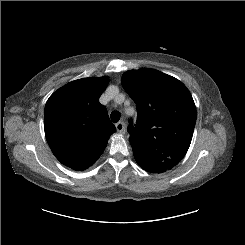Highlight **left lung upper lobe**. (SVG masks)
Instances as JSON below:
<instances>
[{
  "mask_svg": "<svg viewBox=\"0 0 245 245\" xmlns=\"http://www.w3.org/2000/svg\"><path fill=\"white\" fill-rule=\"evenodd\" d=\"M122 85L137 106V122L128 126L137 164L160 173L185 156L196 122V107L187 87L155 69L129 70Z\"/></svg>",
  "mask_w": 245,
  "mask_h": 245,
  "instance_id": "left-lung-upper-lobe-1",
  "label": "left lung upper lobe"
}]
</instances>
